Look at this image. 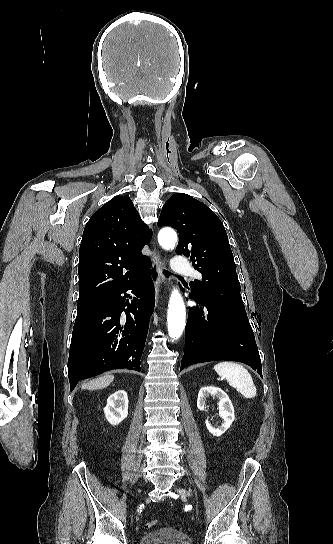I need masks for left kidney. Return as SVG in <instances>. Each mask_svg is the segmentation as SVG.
<instances>
[{
  "label": "left kidney",
  "mask_w": 333,
  "mask_h": 544,
  "mask_svg": "<svg viewBox=\"0 0 333 544\" xmlns=\"http://www.w3.org/2000/svg\"><path fill=\"white\" fill-rule=\"evenodd\" d=\"M209 396L216 397L219 400V416L222 418V423L220 426L213 425L208 419H206L205 423L208 431L213 436L219 437L232 425L235 419L234 408L228 395L222 389L208 386L202 387L199 391L197 399L199 410L204 411L206 409V399Z\"/></svg>",
  "instance_id": "obj_1"
}]
</instances>
